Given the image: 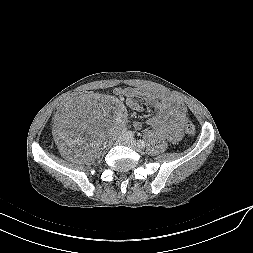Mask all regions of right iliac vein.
<instances>
[{"label": "right iliac vein", "instance_id": "63e3f726", "mask_svg": "<svg viewBox=\"0 0 253 253\" xmlns=\"http://www.w3.org/2000/svg\"><path fill=\"white\" fill-rule=\"evenodd\" d=\"M126 137L127 136L125 134L120 135L119 138H118V142L122 143L125 140Z\"/></svg>", "mask_w": 253, "mask_h": 253}]
</instances>
